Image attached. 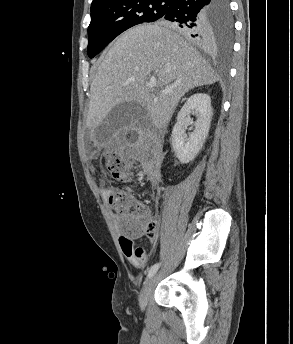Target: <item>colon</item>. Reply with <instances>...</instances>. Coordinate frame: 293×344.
Returning <instances> with one entry per match:
<instances>
[{
  "instance_id": "1",
  "label": "colon",
  "mask_w": 293,
  "mask_h": 344,
  "mask_svg": "<svg viewBox=\"0 0 293 344\" xmlns=\"http://www.w3.org/2000/svg\"><path fill=\"white\" fill-rule=\"evenodd\" d=\"M129 137L131 140L135 139L133 133H130ZM104 163L115 179L127 181L131 178L132 171L129 163L117 151H107L104 154ZM109 203L125 234L149 237L154 234L155 224L151 220L148 209L136 201L127 189L113 190L109 196Z\"/></svg>"
}]
</instances>
